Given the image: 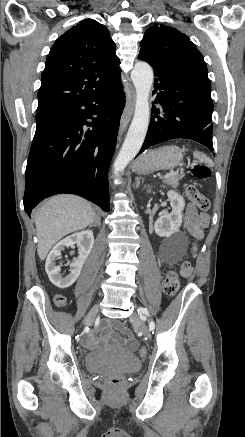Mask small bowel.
<instances>
[{
  "label": "small bowel",
  "mask_w": 245,
  "mask_h": 437,
  "mask_svg": "<svg viewBox=\"0 0 245 437\" xmlns=\"http://www.w3.org/2000/svg\"><path fill=\"white\" fill-rule=\"evenodd\" d=\"M209 224V216L206 213H199L194 205L190 204L186 208V212L184 215V228L187 232H189L192 236L197 239H202L204 235V229ZM188 271H184L183 275H188ZM102 330L106 336L111 338L116 342L122 343L128 349H134L137 346L136 339L130 334L128 329L120 328L121 333H123L126 337H121L116 331L113 330L112 326L104 322L102 324ZM97 344L96 339L93 336H90L87 339L88 346H94Z\"/></svg>",
  "instance_id": "small-bowel-1"
}]
</instances>
